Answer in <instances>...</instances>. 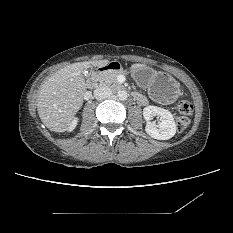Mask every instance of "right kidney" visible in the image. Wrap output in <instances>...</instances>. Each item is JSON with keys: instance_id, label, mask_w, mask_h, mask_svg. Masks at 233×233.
<instances>
[{"instance_id": "ca27d5eb", "label": "right kidney", "mask_w": 233, "mask_h": 233, "mask_svg": "<svg viewBox=\"0 0 233 233\" xmlns=\"http://www.w3.org/2000/svg\"><path fill=\"white\" fill-rule=\"evenodd\" d=\"M77 125V120H73L72 123L70 124L68 130L72 131Z\"/></svg>"}]
</instances>
